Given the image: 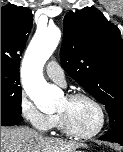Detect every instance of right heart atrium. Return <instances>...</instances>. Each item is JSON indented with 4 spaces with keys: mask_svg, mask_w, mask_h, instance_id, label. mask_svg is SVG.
<instances>
[{
    "mask_svg": "<svg viewBox=\"0 0 123 152\" xmlns=\"http://www.w3.org/2000/svg\"><path fill=\"white\" fill-rule=\"evenodd\" d=\"M19 108L22 117L36 130L46 132L54 127L55 116L40 111L27 95H21Z\"/></svg>",
    "mask_w": 123,
    "mask_h": 152,
    "instance_id": "1",
    "label": "right heart atrium"
}]
</instances>
